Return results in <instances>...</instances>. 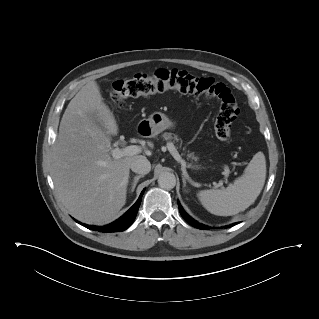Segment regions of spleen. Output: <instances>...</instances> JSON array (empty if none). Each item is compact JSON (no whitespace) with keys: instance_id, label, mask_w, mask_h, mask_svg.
Wrapping results in <instances>:
<instances>
[{"instance_id":"obj_1","label":"spleen","mask_w":319,"mask_h":319,"mask_svg":"<svg viewBox=\"0 0 319 319\" xmlns=\"http://www.w3.org/2000/svg\"><path fill=\"white\" fill-rule=\"evenodd\" d=\"M266 179V161L262 152L256 153L244 174L226 189L202 190L198 198L212 214L231 216L246 210L261 193Z\"/></svg>"}]
</instances>
